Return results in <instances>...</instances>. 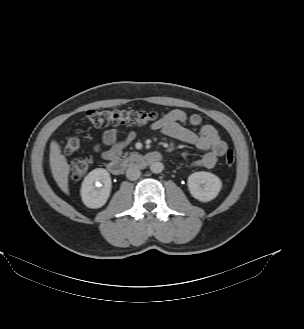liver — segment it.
<instances>
[{
  "label": "liver",
  "mask_w": 304,
  "mask_h": 329,
  "mask_svg": "<svg viewBox=\"0 0 304 329\" xmlns=\"http://www.w3.org/2000/svg\"><path fill=\"white\" fill-rule=\"evenodd\" d=\"M49 163L57 185L65 194H69L68 176L70 166L66 157L62 154L60 145L54 140L50 143Z\"/></svg>",
  "instance_id": "liver-1"
}]
</instances>
